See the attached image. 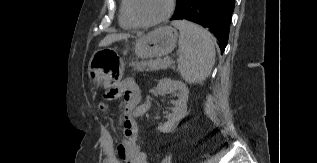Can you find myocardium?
<instances>
[{
  "label": "myocardium",
  "mask_w": 317,
  "mask_h": 163,
  "mask_svg": "<svg viewBox=\"0 0 317 163\" xmlns=\"http://www.w3.org/2000/svg\"><path fill=\"white\" fill-rule=\"evenodd\" d=\"M133 2V0H128V13L132 21L139 27H153L167 21L175 9V0H168L167 10L161 17L150 21H143L136 16L133 8Z\"/></svg>",
  "instance_id": "obj_1"
}]
</instances>
